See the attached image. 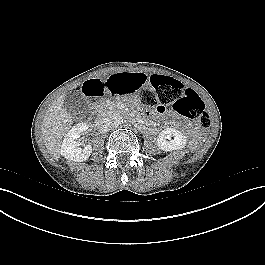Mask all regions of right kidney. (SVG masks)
I'll use <instances>...</instances> for the list:
<instances>
[{
  "label": "right kidney",
  "mask_w": 265,
  "mask_h": 265,
  "mask_svg": "<svg viewBox=\"0 0 265 265\" xmlns=\"http://www.w3.org/2000/svg\"><path fill=\"white\" fill-rule=\"evenodd\" d=\"M87 129L88 125L86 123H78L68 131L60 150L64 158L75 162H83L90 157L92 146L86 145L84 148H80L81 142L79 141L81 134Z\"/></svg>",
  "instance_id": "1"
}]
</instances>
